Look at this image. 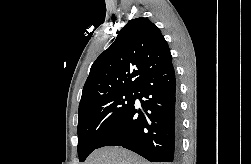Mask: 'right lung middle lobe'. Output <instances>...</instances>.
Returning <instances> with one entry per match:
<instances>
[{"label": "right lung middle lobe", "instance_id": "obj_1", "mask_svg": "<svg viewBox=\"0 0 251 164\" xmlns=\"http://www.w3.org/2000/svg\"><path fill=\"white\" fill-rule=\"evenodd\" d=\"M136 90H123L102 95L79 108L78 155L80 162L97 149L105 135L134 105Z\"/></svg>", "mask_w": 251, "mask_h": 164}]
</instances>
